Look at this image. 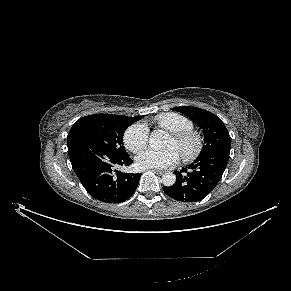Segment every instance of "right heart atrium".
Here are the masks:
<instances>
[{"mask_svg":"<svg viewBox=\"0 0 291 291\" xmlns=\"http://www.w3.org/2000/svg\"><path fill=\"white\" fill-rule=\"evenodd\" d=\"M149 140V129L144 123L131 125L124 133L125 146L132 152L143 149Z\"/></svg>","mask_w":291,"mask_h":291,"instance_id":"right-heart-atrium-1","label":"right heart atrium"}]
</instances>
